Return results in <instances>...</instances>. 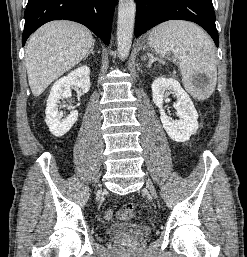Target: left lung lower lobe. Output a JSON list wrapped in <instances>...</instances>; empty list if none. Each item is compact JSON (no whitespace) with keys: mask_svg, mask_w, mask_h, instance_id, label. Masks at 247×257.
Listing matches in <instances>:
<instances>
[{"mask_svg":"<svg viewBox=\"0 0 247 257\" xmlns=\"http://www.w3.org/2000/svg\"><path fill=\"white\" fill-rule=\"evenodd\" d=\"M188 20L203 27L216 46L219 37L212 0H136L135 36L167 20Z\"/></svg>","mask_w":247,"mask_h":257,"instance_id":"1","label":"left lung lower lobe"}]
</instances>
